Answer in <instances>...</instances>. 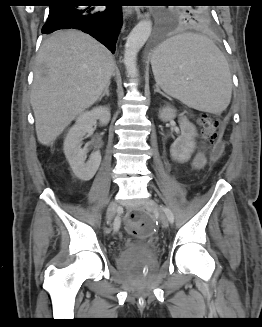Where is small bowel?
I'll return each mask as SVG.
<instances>
[{
    "label": "small bowel",
    "instance_id": "small-bowel-1",
    "mask_svg": "<svg viewBox=\"0 0 262 327\" xmlns=\"http://www.w3.org/2000/svg\"><path fill=\"white\" fill-rule=\"evenodd\" d=\"M206 163V155L202 152H199L192 159L191 165L194 169H202L206 165Z\"/></svg>",
    "mask_w": 262,
    "mask_h": 327
}]
</instances>
